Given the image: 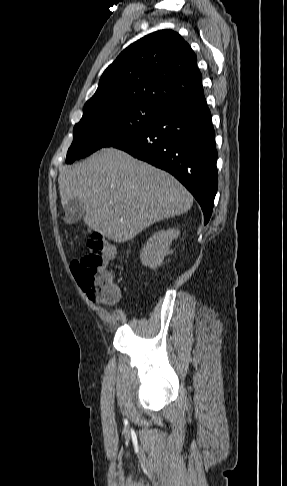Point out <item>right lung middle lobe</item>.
I'll use <instances>...</instances> for the list:
<instances>
[{"label": "right lung middle lobe", "mask_w": 287, "mask_h": 486, "mask_svg": "<svg viewBox=\"0 0 287 486\" xmlns=\"http://www.w3.org/2000/svg\"><path fill=\"white\" fill-rule=\"evenodd\" d=\"M167 109L148 101L106 103L84 109L82 119L74 126V140L66 162L134 138Z\"/></svg>", "instance_id": "obj_1"}]
</instances>
